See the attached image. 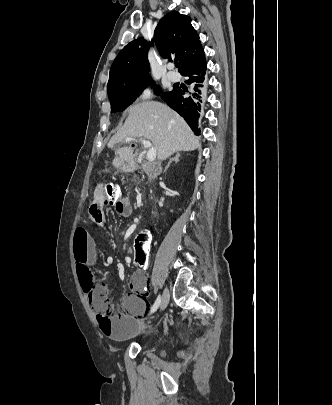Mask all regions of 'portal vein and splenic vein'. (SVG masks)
<instances>
[{
	"label": "portal vein and splenic vein",
	"instance_id": "obj_1",
	"mask_svg": "<svg viewBox=\"0 0 332 405\" xmlns=\"http://www.w3.org/2000/svg\"><path fill=\"white\" fill-rule=\"evenodd\" d=\"M126 142H131V141H139L141 142V144L145 147V148H149L148 152H147V159L149 162H153L156 159V150L155 148L152 146V143L149 140H145V139H135L132 137H128L125 139Z\"/></svg>",
	"mask_w": 332,
	"mask_h": 405
}]
</instances>
